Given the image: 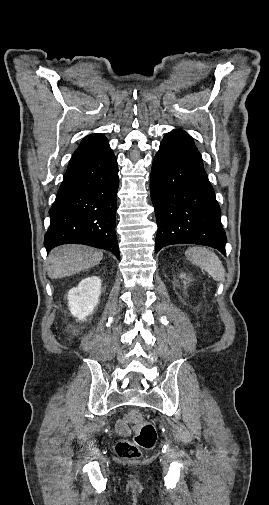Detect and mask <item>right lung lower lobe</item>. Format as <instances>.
<instances>
[{
	"label": "right lung lower lobe",
	"instance_id": "1",
	"mask_svg": "<svg viewBox=\"0 0 269 505\" xmlns=\"http://www.w3.org/2000/svg\"><path fill=\"white\" fill-rule=\"evenodd\" d=\"M118 186L117 160L108 142L71 158L49 210L47 252L74 243L109 250L120 259L115 232Z\"/></svg>",
	"mask_w": 269,
	"mask_h": 505
}]
</instances>
